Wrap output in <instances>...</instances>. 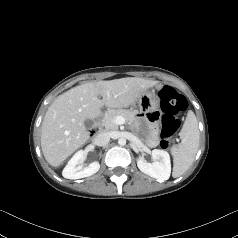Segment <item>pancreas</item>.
Wrapping results in <instances>:
<instances>
[{"mask_svg": "<svg viewBox=\"0 0 238 238\" xmlns=\"http://www.w3.org/2000/svg\"><path fill=\"white\" fill-rule=\"evenodd\" d=\"M117 116L124 117L125 120H127L128 122H133V120L135 118V112L130 111V110H125V109H117V110L113 109V110L108 111L102 120V124L107 131H112V130L118 129V125L116 123H114V119Z\"/></svg>", "mask_w": 238, "mask_h": 238, "instance_id": "obj_1", "label": "pancreas"}]
</instances>
